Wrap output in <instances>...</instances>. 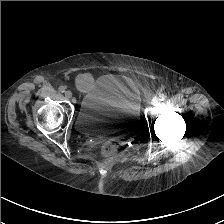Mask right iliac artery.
Instances as JSON below:
<instances>
[{
    "label": "right iliac artery",
    "mask_w": 224,
    "mask_h": 224,
    "mask_svg": "<svg viewBox=\"0 0 224 224\" xmlns=\"http://www.w3.org/2000/svg\"><path fill=\"white\" fill-rule=\"evenodd\" d=\"M65 89H66V88H65L64 86H60V87H59V91H60L61 93L65 92Z\"/></svg>",
    "instance_id": "82829eb1"
}]
</instances>
